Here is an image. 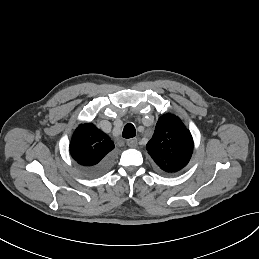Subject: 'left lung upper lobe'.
Here are the masks:
<instances>
[{"label": "left lung upper lobe", "instance_id": "1", "mask_svg": "<svg viewBox=\"0 0 259 259\" xmlns=\"http://www.w3.org/2000/svg\"><path fill=\"white\" fill-rule=\"evenodd\" d=\"M146 149L163 172L176 173L188 164L193 152V139L177 116L166 114L159 118Z\"/></svg>", "mask_w": 259, "mask_h": 259}]
</instances>
